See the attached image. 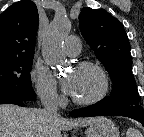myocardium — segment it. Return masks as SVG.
<instances>
[{
  "instance_id": "obj_1",
  "label": "myocardium",
  "mask_w": 144,
  "mask_h": 137,
  "mask_svg": "<svg viewBox=\"0 0 144 137\" xmlns=\"http://www.w3.org/2000/svg\"><path fill=\"white\" fill-rule=\"evenodd\" d=\"M86 68L92 69L98 73L101 79V88L100 91L94 97L89 99L81 100L71 96V101L75 105L79 106H91L101 102L106 97L109 90V77L106 70L101 64L93 61H81L75 67V69Z\"/></svg>"
}]
</instances>
